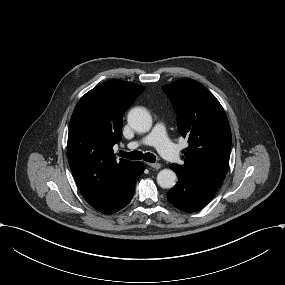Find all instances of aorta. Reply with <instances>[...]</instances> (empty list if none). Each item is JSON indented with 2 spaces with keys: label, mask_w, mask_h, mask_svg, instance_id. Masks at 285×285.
<instances>
[{
  "label": "aorta",
  "mask_w": 285,
  "mask_h": 285,
  "mask_svg": "<svg viewBox=\"0 0 285 285\" xmlns=\"http://www.w3.org/2000/svg\"><path fill=\"white\" fill-rule=\"evenodd\" d=\"M128 124L139 133L148 132L152 127V117L144 108H133L127 117ZM176 173L171 169H163L157 175V183L161 188L170 189L175 185Z\"/></svg>",
  "instance_id": "obj_1"
}]
</instances>
